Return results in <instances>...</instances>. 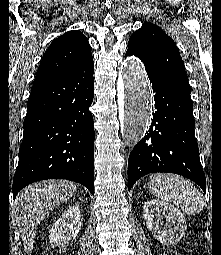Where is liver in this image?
I'll use <instances>...</instances> for the list:
<instances>
[{
  "mask_svg": "<svg viewBox=\"0 0 221 255\" xmlns=\"http://www.w3.org/2000/svg\"><path fill=\"white\" fill-rule=\"evenodd\" d=\"M77 190L66 180H46L29 185L22 190L13 204L14 219L27 252L33 249L36 230L40 222Z\"/></svg>",
  "mask_w": 221,
  "mask_h": 255,
  "instance_id": "1",
  "label": "liver"
}]
</instances>
